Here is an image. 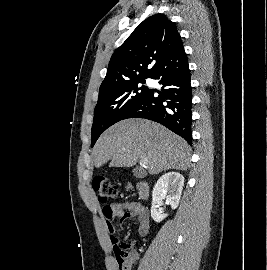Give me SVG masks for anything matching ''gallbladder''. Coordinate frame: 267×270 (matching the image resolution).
Returning <instances> with one entry per match:
<instances>
[{
	"label": "gallbladder",
	"instance_id": "gallbladder-1",
	"mask_svg": "<svg viewBox=\"0 0 267 270\" xmlns=\"http://www.w3.org/2000/svg\"><path fill=\"white\" fill-rule=\"evenodd\" d=\"M132 172L133 175L137 178H144L146 176V172L139 168H134Z\"/></svg>",
	"mask_w": 267,
	"mask_h": 270
}]
</instances>
